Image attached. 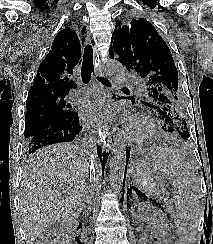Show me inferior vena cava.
Returning a JSON list of instances; mask_svg holds the SVG:
<instances>
[{"mask_svg":"<svg viewBox=\"0 0 213 244\" xmlns=\"http://www.w3.org/2000/svg\"><path fill=\"white\" fill-rule=\"evenodd\" d=\"M84 142H89L90 138L89 137H84L83 138ZM83 149H85V151L88 153V155L90 156V165H89V180L93 181L90 186H87V192L85 194V198L84 201L82 203V207L84 210V213L89 214L91 212V210L95 207V199H94V191L93 188H96L98 185V180H96V176L98 173V170L95 169L94 165L92 164L93 162V151H92V146L88 145V144H83Z\"/></svg>","mask_w":213,"mask_h":244,"instance_id":"inferior-vena-cava-1","label":"inferior vena cava"}]
</instances>
